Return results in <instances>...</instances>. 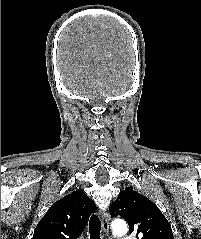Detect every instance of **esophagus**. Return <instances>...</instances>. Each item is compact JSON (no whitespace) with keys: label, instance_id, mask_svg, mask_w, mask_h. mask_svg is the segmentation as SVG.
Segmentation results:
<instances>
[{"label":"esophagus","instance_id":"esophagus-1","mask_svg":"<svg viewBox=\"0 0 201 239\" xmlns=\"http://www.w3.org/2000/svg\"><path fill=\"white\" fill-rule=\"evenodd\" d=\"M100 216L102 221L103 232L107 234L109 231V221H110L109 213L107 211H103L100 212Z\"/></svg>","mask_w":201,"mask_h":239}]
</instances>
